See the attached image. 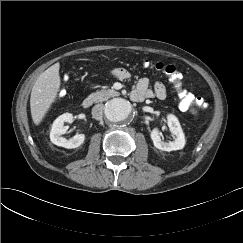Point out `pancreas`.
<instances>
[{
  "instance_id": "cf45deb5",
  "label": "pancreas",
  "mask_w": 243,
  "mask_h": 243,
  "mask_svg": "<svg viewBox=\"0 0 243 243\" xmlns=\"http://www.w3.org/2000/svg\"><path fill=\"white\" fill-rule=\"evenodd\" d=\"M120 93L113 90V89H107V90H101L97 91L95 93H92L88 96L89 99H91L95 103L104 102L107 101L109 98L119 96Z\"/></svg>"
}]
</instances>
